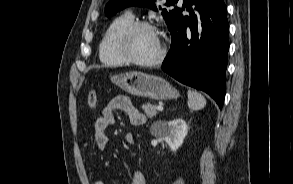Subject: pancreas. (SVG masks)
I'll use <instances>...</instances> for the list:
<instances>
[{"label":"pancreas","instance_id":"pancreas-1","mask_svg":"<svg viewBox=\"0 0 293 184\" xmlns=\"http://www.w3.org/2000/svg\"><path fill=\"white\" fill-rule=\"evenodd\" d=\"M143 110L145 111V114L149 118H153L157 114V107L156 105H153L151 103H147L142 105Z\"/></svg>","mask_w":293,"mask_h":184}]
</instances>
